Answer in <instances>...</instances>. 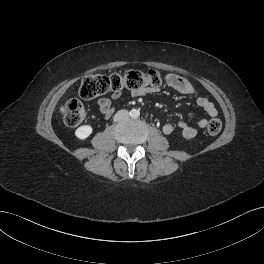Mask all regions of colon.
Wrapping results in <instances>:
<instances>
[{
  "mask_svg": "<svg viewBox=\"0 0 264 264\" xmlns=\"http://www.w3.org/2000/svg\"><path fill=\"white\" fill-rule=\"evenodd\" d=\"M163 83V78L159 71L114 72L109 75L90 74L83 78L79 89V94L83 99H93L108 91L120 92L123 89L132 91L144 88L159 87ZM86 117L83 104L77 99H70L65 103L64 121L68 126L79 125ZM222 129L219 119L213 118L207 124V132L211 136H216Z\"/></svg>",
  "mask_w": 264,
  "mask_h": 264,
  "instance_id": "colon-1",
  "label": "colon"
}]
</instances>
